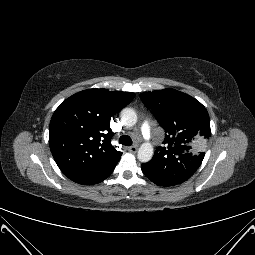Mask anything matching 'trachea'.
Listing matches in <instances>:
<instances>
[{"label": "trachea", "mask_w": 255, "mask_h": 255, "mask_svg": "<svg viewBox=\"0 0 255 255\" xmlns=\"http://www.w3.org/2000/svg\"><path fill=\"white\" fill-rule=\"evenodd\" d=\"M119 143L125 146H131L132 145V139L128 135H122L119 138Z\"/></svg>", "instance_id": "trachea-1"}]
</instances>
